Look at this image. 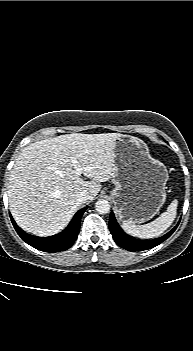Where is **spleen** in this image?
Segmentation results:
<instances>
[{
    "label": "spleen",
    "mask_w": 193,
    "mask_h": 351,
    "mask_svg": "<svg viewBox=\"0 0 193 351\" xmlns=\"http://www.w3.org/2000/svg\"><path fill=\"white\" fill-rule=\"evenodd\" d=\"M177 205L178 201L175 199L168 206L167 211L162 213L154 221L144 225H136L130 221H123L122 228L126 233L139 238L157 237L173 223L177 213Z\"/></svg>",
    "instance_id": "obj_1"
}]
</instances>
